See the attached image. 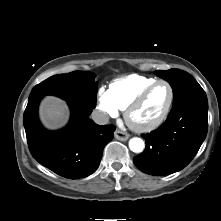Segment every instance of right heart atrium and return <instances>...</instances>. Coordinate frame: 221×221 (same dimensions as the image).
<instances>
[{
    "label": "right heart atrium",
    "mask_w": 221,
    "mask_h": 221,
    "mask_svg": "<svg viewBox=\"0 0 221 221\" xmlns=\"http://www.w3.org/2000/svg\"><path fill=\"white\" fill-rule=\"evenodd\" d=\"M97 107L104 118L118 115V107L112 100L109 90L101 87L97 92Z\"/></svg>",
    "instance_id": "d8ad5b80"
}]
</instances>
